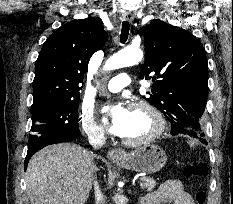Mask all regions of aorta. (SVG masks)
Masks as SVG:
<instances>
[{"label": "aorta", "instance_id": "762f6f07", "mask_svg": "<svg viewBox=\"0 0 233 204\" xmlns=\"http://www.w3.org/2000/svg\"><path fill=\"white\" fill-rule=\"evenodd\" d=\"M142 58L143 52L141 49L128 47L110 57L106 61L104 69L114 70L122 67L132 66L139 63Z\"/></svg>", "mask_w": 233, "mask_h": 204}]
</instances>
